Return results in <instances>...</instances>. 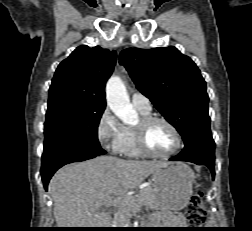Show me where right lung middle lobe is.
I'll use <instances>...</instances> for the list:
<instances>
[{
    "label": "right lung middle lobe",
    "instance_id": "1",
    "mask_svg": "<svg viewBox=\"0 0 252 231\" xmlns=\"http://www.w3.org/2000/svg\"><path fill=\"white\" fill-rule=\"evenodd\" d=\"M104 105H89L68 98L48 101L44 151L66 143L100 147L97 129Z\"/></svg>",
    "mask_w": 252,
    "mask_h": 231
}]
</instances>
